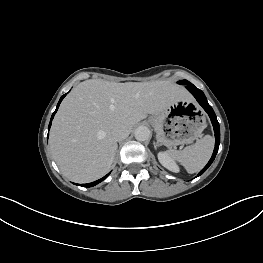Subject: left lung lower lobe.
Masks as SVG:
<instances>
[{
	"label": "left lung lower lobe",
	"mask_w": 263,
	"mask_h": 263,
	"mask_svg": "<svg viewBox=\"0 0 263 263\" xmlns=\"http://www.w3.org/2000/svg\"><path fill=\"white\" fill-rule=\"evenodd\" d=\"M192 94L193 96L196 98V100L198 101V103L204 108V110L208 113L211 122L213 124L214 127V132H215V148H214V152L212 154L211 159L209 160V162L207 163V165L199 172L198 176H200L201 174H203L207 168L212 164L213 160L215 159V156L218 152V148H219V144H220V127H219V123L217 121V117L212 109V107L208 104L207 99L204 95V93L196 88L193 84L191 85H187L186 87Z\"/></svg>",
	"instance_id": "left-lung-lower-lobe-1"
}]
</instances>
